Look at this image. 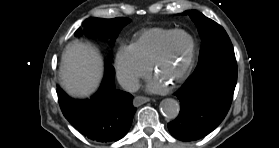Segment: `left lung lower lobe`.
<instances>
[{
	"instance_id": "1",
	"label": "left lung lower lobe",
	"mask_w": 279,
	"mask_h": 148,
	"mask_svg": "<svg viewBox=\"0 0 279 148\" xmlns=\"http://www.w3.org/2000/svg\"><path fill=\"white\" fill-rule=\"evenodd\" d=\"M236 83L234 52L198 62L193 74L175 93L180 101V112L168 123L171 135L178 140L193 141L212 132L231 106Z\"/></svg>"
}]
</instances>
